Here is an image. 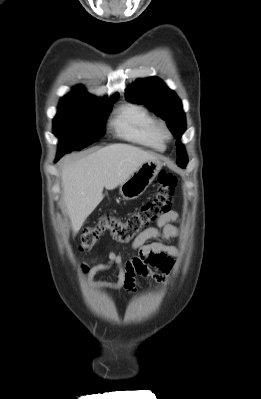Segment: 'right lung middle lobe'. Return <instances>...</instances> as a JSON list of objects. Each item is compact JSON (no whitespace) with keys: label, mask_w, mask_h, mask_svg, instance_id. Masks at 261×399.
Returning a JSON list of instances; mask_svg holds the SVG:
<instances>
[{"label":"right lung middle lobe","mask_w":261,"mask_h":399,"mask_svg":"<svg viewBox=\"0 0 261 399\" xmlns=\"http://www.w3.org/2000/svg\"><path fill=\"white\" fill-rule=\"evenodd\" d=\"M117 100L61 101L53 121V133L60 141L58 152L80 150L103 136L106 117Z\"/></svg>","instance_id":"dd1d6c3e"}]
</instances>
